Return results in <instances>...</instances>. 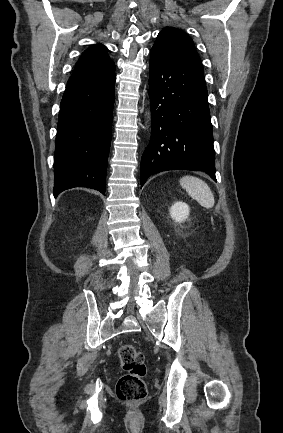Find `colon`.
<instances>
[{
	"instance_id": "obj_1",
	"label": "colon",
	"mask_w": 283,
	"mask_h": 433,
	"mask_svg": "<svg viewBox=\"0 0 283 433\" xmlns=\"http://www.w3.org/2000/svg\"><path fill=\"white\" fill-rule=\"evenodd\" d=\"M118 359L124 371L116 385L117 398L125 402H138L147 394L144 376L146 365L144 355L132 344L118 348Z\"/></svg>"
}]
</instances>
